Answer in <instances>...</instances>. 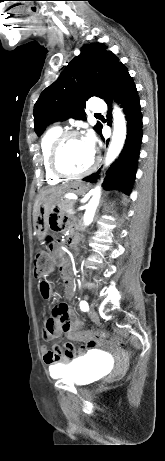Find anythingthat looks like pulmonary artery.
Here are the masks:
<instances>
[{
	"label": "pulmonary artery",
	"instance_id": "obj_1",
	"mask_svg": "<svg viewBox=\"0 0 165 461\" xmlns=\"http://www.w3.org/2000/svg\"><path fill=\"white\" fill-rule=\"evenodd\" d=\"M90 109L93 112L101 113V112L105 111V105H104V103L102 102L101 99H99L97 97H94V98L91 99Z\"/></svg>",
	"mask_w": 165,
	"mask_h": 461
}]
</instances>
